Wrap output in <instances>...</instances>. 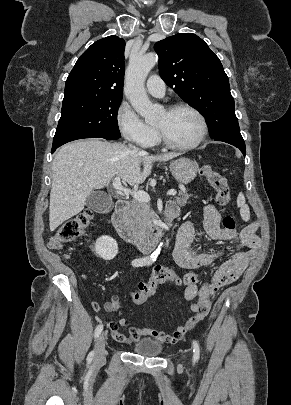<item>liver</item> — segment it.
I'll return each instance as SVG.
<instances>
[{
    "label": "liver",
    "instance_id": "6515ba94",
    "mask_svg": "<svg viewBox=\"0 0 291 405\" xmlns=\"http://www.w3.org/2000/svg\"><path fill=\"white\" fill-rule=\"evenodd\" d=\"M177 156L175 153L153 156L99 139L65 144L52 163L50 230L80 213L93 190L105 187L114 176L130 185L140 184L150 175L155 161H168Z\"/></svg>",
    "mask_w": 291,
    "mask_h": 405
}]
</instances>
